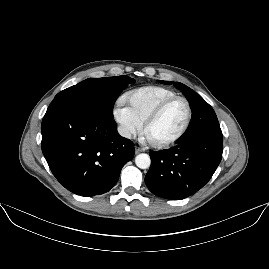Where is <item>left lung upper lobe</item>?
Masks as SVG:
<instances>
[{"mask_svg": "<svg viewBox=\"0 0 269 269\" xmlns=\"http://www.w3.org/2000/svg\"><path fill=\"white\" fill-rule=\"evenodd\" d=\"M160 82L167 85L173 83L171 81ZM174 85L187 97L192 109V120L183 140H190L206 133H221L213 108L199 94L186 85L179 82H175Z\"/></svg>", "mask_w": 269, "mask_h": 269, "instance_id": "1", "label": "left lung upper lobe"}]
</instances>
